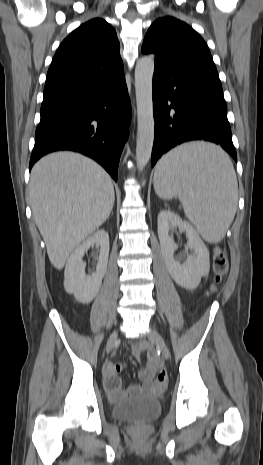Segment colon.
Masks as SVG:
<instances>
[{
	"mask_svg": "<svg viewBox=\"0 0 263 465\" xmlns=\"http://www.w3.org/2000/svg\"><path fill=\"white\" fill-rule=\"evenodd\" d=\"M213 270L215 273L211 291H216L228 271V261L225 252L221 248H216L213 258Z\"/></svg>",
	"mask_w": 263,
	"mask_h": 465,
	"instance_id": "1",
	"label": "colon"
}]
</instances>
